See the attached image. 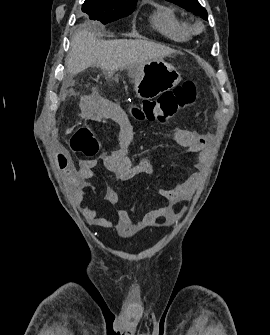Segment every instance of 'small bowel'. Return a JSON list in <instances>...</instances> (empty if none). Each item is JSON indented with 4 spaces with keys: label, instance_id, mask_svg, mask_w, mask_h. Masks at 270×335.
I'll use <instances>...</instances> for the list:
<instances>
[{
    "label": "small bowel",
    "instance_id": "1",
    "mask_svg": "<svg viewBox=\"0 0 270 335\" xmlns=\"http://www.w3.org/2000/svg\"><path fill=\"white\" fill-rule=\"evenodd\" d=\"M96 118H107L115 121L119 127L120 147L111 153H103L101 159L106 168L112 172L119 181H128L137 175H149L153 171L150 161L141 159L136 163L128 157V148L134 138V131L126 113L116 104H111L100 110L95 115ZM176 139L190 154H199L196 167L201 169L208 155V145L210 138L205 135L193 133L184 129H176ZM48 151H59V144H48ZM52 161H57L59 173H73L71 178L76 187L75 201L80 203L84 197V190L88 187V180L93 177V169L96 160L84 159L77 162L72 158V154H52ZM201 179L200 172L191 174L187 179L171 188H160L159 194L166 200L162 207L148 211L141 220L143 227L154 225L158 220H168L173 215L174 207L184 201L194 190ZM106 200L116 208L117 222L115 228L120 234L127 233L131 229V217L126 209L118 207L120 196L112 187L105 190ZM83 217L92 225L108 229L114 226L113 221L105 216L99 215L97 209L84 207L81 209Z\"/></svg>",
    "mask_w": 270,
    "mask_h": 335
}]
</instances>
